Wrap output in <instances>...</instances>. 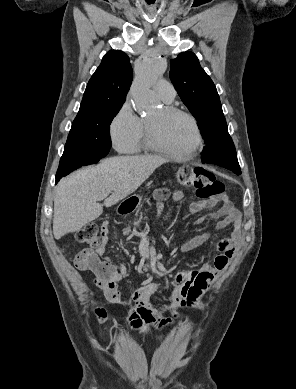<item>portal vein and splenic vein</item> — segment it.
<instances>
[{
    "label": "portal vein and splenic vein",
    "instance_id": "obj_1",
    "mask_svg": "<svg viewBox=\"0 0 296 389\" xmlns=\"http://www.w3.org/2000/svg\"><path fill=\"white\" fill-rule=\"evenodd\" d=\"M107 197V194L103 195L100 197V200H102L103 198Z\"/></svg>",
    "mask_w": 296,
    "mask_h": 389
}]
</instances>
